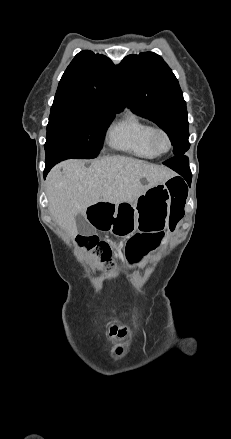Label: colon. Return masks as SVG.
Returning <instances> with one entry per match:
<instances>
[{
	"label": "colon",
	"instance_id": "1",
	"mask_svg": "<svg viewBox=\"0 0 231 439\" xmlns=\"http://www.w3.org/2000/svg\"><path fill=\"white\" fill-rule=\"evenodd\" d=\"M168 189L173 198L174 214L172 217V223L175 224L183 216V206L187 197V187L180 180H170L168 182ZM143 229L146 230L147 227L143 226ZM138 239L139 236H135L131 242H136ZM79 243L82 247L93 251L107 272L113 271L114 264L111 260L110 247L106 242L100 240L95 235H88L80 237Z\"/></svg>",
	"mask_w": 231,
	"mask_h": 439
}]
</instances>
